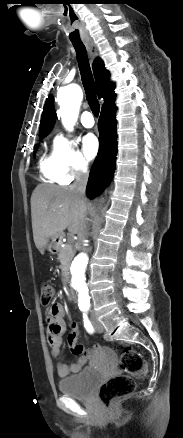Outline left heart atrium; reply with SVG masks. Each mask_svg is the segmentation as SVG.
<instances>
[{"instance_id":"obj_1","label":"left heart atrium","mask_w":183,"mask_h":438,"mask_svg":"<svg viewBox=\"0 0 183 438\" xmlns=\"http://www.w3.org/2000/svg\"><path fill=\"white\" fill-rule=\"evenodd\" d=\"M83 150L87 159H93L99 151V141L94 134H87L83 139Z\"/></svg>"}]
</instances>
